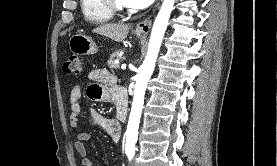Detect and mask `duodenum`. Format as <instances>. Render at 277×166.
Listing matches in <instances>:
<instances>
[{"instance_id": "duodenum-1", "label": "duodenum", "mask_w": 277, "mask_h": 166, "mask_svg": "<svg viewBox=\"0 0 277 166\" xmlns=\"http://www.w3.org/2000/svg\"><path fill=\"white\" fill-rule=\"evenodd\" d=\"M114 102L117 107L118 120L120 123H124L127 119L128 113V96L127 93L119 88L115 93Z\"/></svg>"}]
</instances>
